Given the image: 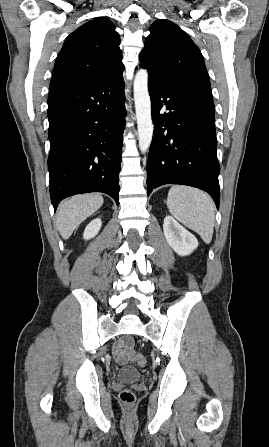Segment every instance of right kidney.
Wrapping results in <instances>:
<instances>
[{"mask_svg":"<svg viewBox=\"0 0 269 447\" xmlns=\"http://www.w3.org/2000/svg\"><path fill=\"white\" fill-rule=\"evenodd\" d=\"M102 225V222L100 218H96V220H92L90 224L86 225L83 233L84 239H91V237H95L97 235L100 227Z\"/></svg>","mask_w":269,"mask_h":447,"instance_id":"right-kidney-1","label":"right kidney"}]
</instances>
